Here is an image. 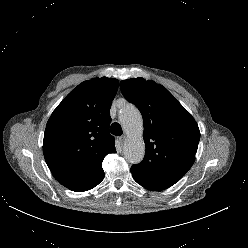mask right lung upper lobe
<instances>
[{"label":"right lung upper lobe","instance_id":"cb5924a9","mask_svg":"<svg viewBox=\"0 0 248 248\" xmlns=\"http://www.w3.org/2000/svg\"><path fill=\"white\" fill-rule=\"evenodd\" d=\"M118 80L93 78L72 90L50 116L43 140L46 163L63 186L90 190L104 178L102 161L115 153L110 107Z\"/></svg>","mask_w":248,"mask_h":248}]
</instances>
